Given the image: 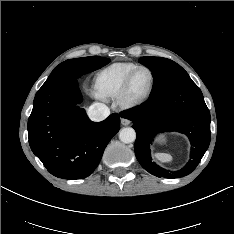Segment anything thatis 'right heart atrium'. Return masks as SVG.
Wrapping results in <instances>:
<instances>
[{
    "mask_svg": "<svg viewBox=\"0 0 234 234\" xmlns=\"http://www.w3.org/2000/svg\"><path fill=\"white\" fill-rule=\"evenodd\" d=\"M93 95H94V96H99V95L97 94V92H93Z\"/></svg>",
    "mask_w": 234,
    "mask_h": 234,
    "instance_id": "d8ad5b80",
    "label": "right heart atrium"
}]
</instances>
